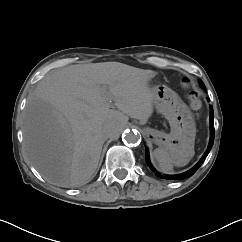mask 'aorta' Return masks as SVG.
Masks as SVG:
<instances>
[{
    "mask_svg": "<svg viewBox=\"0 0 242 242\" xmlns=\"http://www.w3.org/2000/svg\"><path fill=\"white\" fill-rule=\"evenodd\" d=\"M123 142L130 145L139 144L141 136L137 132L125 131L122 135Z\"/></svg>",
    "mask_w": 242,
    "mask_h": 242,
    "instance_id": "obj_1",
    "label": "aorta"
}]
</instances>
